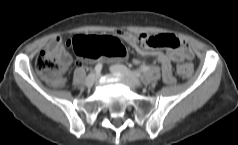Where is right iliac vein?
Wrapping results in <instances>:
<instances>
[{
  "label": "right iliac vein",
  "mask_w": 238,
  "mask_h": 145,
  "mask_svg": "<svg viewBox=\"0 0 238 145\" xmlns=\"http://www.w3.org/2000/svg\"><path fill=\"white\" fill-rule=\"evenodd\" d=\"M96 80H97V74L91 73L86 78L85 84L88 87H92L94 85V83L96 82Z\"/></svg>",
  "instance_id": "63e3f726"
}]
</instances>
